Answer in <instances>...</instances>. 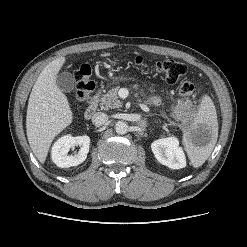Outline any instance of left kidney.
Segmentation results:
<instances>
[{
    "mask_svg": "<svg viewBox=\"0 0 247 247\" xmlns=\"http://www.w3.org/2000/svg\"><path fill=\"white\" fill-rule=\"evenodd\" d=\"M155 158L171 169H181L186 166V158L176 137L162 138L151 144Z\"/></svg>",
    "mask_w": 247,
    "mask_h": 247,
    "instance_id": "5707ae66",
    "label": "left kidney"
}]
</instances>
